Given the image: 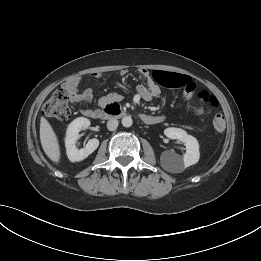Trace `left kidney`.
<instances>
[{
  "label": "left kidney",
  "mask_w": 261,
  "mask_h": 261,
  "mask_svg": "<svg viewBox=\"0 0 261 261\" xmlns=\"http://www.w3.org/2000/svg\"><path fill=\"white\" fill-rule=\"evenodd\" d=\"M164 134L170 139H177L183 142L186 146V153L183 157L170 151H164L161 154V164L165 169L172 172H180L199 161V144L195 137L188 135L186 131L180 128L174 127L166 128Z\"/></svg>",
  "instance_id": "1"
}]
</instances>
